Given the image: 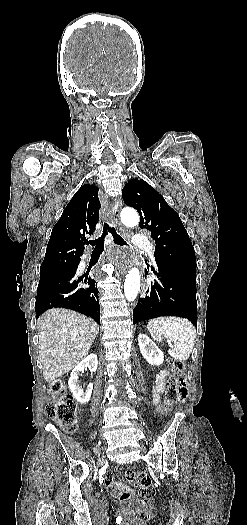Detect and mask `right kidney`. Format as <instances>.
I'll list each match as a JSON object with an SVG mask.
<instances>
[{"label":"right kidney","instance_id":"1","mask_svg":"<svg viewBox=\"0 0 247 525\" xmlns=\"http://www.w3.org/2000/svg\"><path fill=\"white\" fill-rule=\"evenodd\" d=\"M85 367H88V369H89V371H91V373H95V371H97V367H98L97 355H94V353H91V355H88V357H86V359H84V361H81V363H79V365H77V367H75V369H73V371H72V373L70 375V379L68 381L69 389H70L74 399H76V401H78V403H81V405H86V403H89L90 397H91L92 391H93L92 383H90V385H88V387H87V389H85V391H83V389H81V387H79V385H78L79 375H80L81 371H84Z\"/></svg>","mask_w":247,"mask_h":525}]
</instances>
